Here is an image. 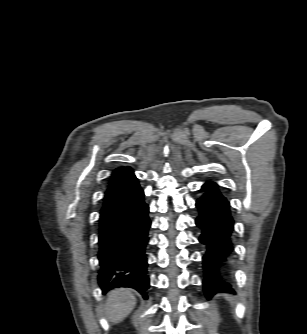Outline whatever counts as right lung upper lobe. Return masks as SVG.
Segmentation results:
<instances>
[{
	"label": "right lung upper lobe",
	"mask_w": 307,
	"mask_h": 334,
	"mask_svg": "<svg viewBox=\"0 0 307 334\" xmlns=\"http://www.w3.org/2000/svg\"><path fill=\"white\" fill-rule=\"evenodd\" d=\"M131 175H133V170L130 167L117 168L116 170L113 171V174L111 176V180L109 183V188L114 187L117 184L123 182Z\"/></svg>",
	"instance_id": "obj_1"
}]
</instances>
